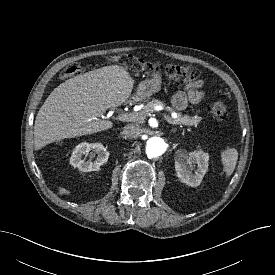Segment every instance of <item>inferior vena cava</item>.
<instances>
[{
	"mask_svg": "<svg viewBox=\"0 0 275 275\" xmlns=\"http://www.w3.org/2000/svg\"><path fill=\"white\" fill-rule=\"evenodd\" d=\"M123 134L127 138H138L141 134V127L137 124H128L124 126Z\"/></svg>",
	"mask_w": 275,
	"mask_h": 275,
	"instance_id": "obj_1",
	"label": "inferior vena cava"
}]
</instances>
